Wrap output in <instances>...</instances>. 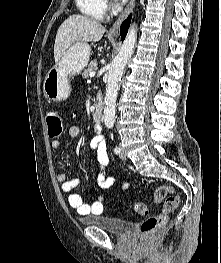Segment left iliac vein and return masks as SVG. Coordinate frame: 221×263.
<instances>
[{
	"mask_svg": "<svg viewBox=\"0 0 221 263\" xmlns=\"http://www.w3.org/2000/svg\"><path fill=\"white\" fill-rule=\"evenodd\" d=\"M120 157L122 159H126V154H125V152L122 149H121Z\"/></svg>",
	"mask_w": 221,
	"mask_h": 263,
	"instance_id": "4c4485c4",
	"label": "left iliac vein"
}]
</instances>
